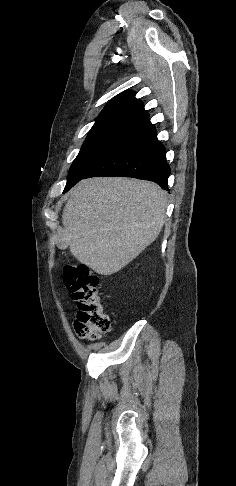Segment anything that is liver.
<instances>
[{"label": "liver", "instance_id": "liver-1", "mask_svg": "<svg viewBox=\"0 0 236 486\" xmlns=\"http://www.w3.org/2000/svg\"><path fill=\"white\" fill-rule=\"evenodd\" d=\"M62 215V242L100 275H112L145 250L164 224L167 196L155 183L110 177L80 181Z\"/></svg>", "mask_w": 236, "mask_h": 486}]
</instances>
